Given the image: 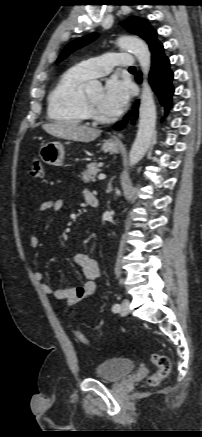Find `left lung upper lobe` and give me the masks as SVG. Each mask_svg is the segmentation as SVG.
Masks as SVG:
<instances>
[{"mask_svg":"<svg viewBox=\"0 0 202 437\" xmlns=\"http://www.w3.org/2000/svg\"><path fill=\"white\" fill-rule=\"evenodd\" d=\"M123 26L126 27L131 33H134L143 38L148 43L151 52L156 46L160 44V42L156 38V30L145 19L132 16L123 23ZM96 37V33H91L72 41L64 48L57 60V63L61 62L76 49L89 44Z\"/></svg>","mask_w":202,"mask_h":437,"instance_id":"1","label":"left lung upper lobe"}]
</instances>
